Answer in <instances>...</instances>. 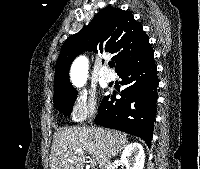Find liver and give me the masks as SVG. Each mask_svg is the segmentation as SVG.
Instances as JSON below:
<instances>
[{"instance_id":"liver-1","label":"liver","mask_w":200,"mask_h":169,"mask_svg":"<svg viewBox=\"0 0 200 169\" xmlns=\"http://www.w3.org/2000/svg\"><path fill=\"white\" fill-rule=\"evenodd\" d=\"M127 144V136L104 128L73 127L53 136L50 169H84L87 157L100 169Z\"/></svg>"}]
</instances>
